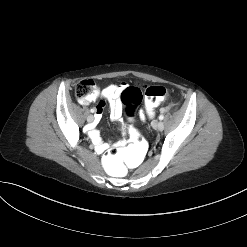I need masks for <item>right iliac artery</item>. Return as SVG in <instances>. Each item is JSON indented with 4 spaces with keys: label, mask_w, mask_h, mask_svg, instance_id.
Segmentation results:
<instances>
[{
    "label": "right iliac artery",
    "mask_w": 247,
    "mask_h": 247,
    "mask_svg": "<svg viewBox=\"0 0 247 247\" xmlns=\"http://www.w3.org/2000/svg\"><path fill=\"white\" fill-rule=\"evenodd\" d=\"M90 112H91V113H94V112H95V109H90Z\"/></svg>",
    "instance_id": "right-iliac-artery-1"
}]
</instances>
